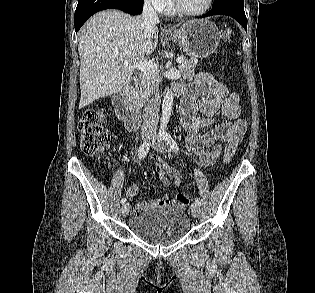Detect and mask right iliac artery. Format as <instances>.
Masks as SVG:
<instances>
[{
  "label": "right iliac artery",
  "instance_id": "82829eb1",
  "mask_svg": "<svg viewBox=\"0 0 315 293\" xmlns=\"http://www.w3.org/2000/svg\"><path fill=\"white\" fill-rule=\"evenodd\" d=\"M149 148H150V143H148V142H145V143L140 145V147L138 149V157L140 160L143 159L147 155ZM125 203H126V198H122L121 204H125Z\"/></svg>",
  "mask_w": 315,
  "mask_h": 293
}]
</instances>
